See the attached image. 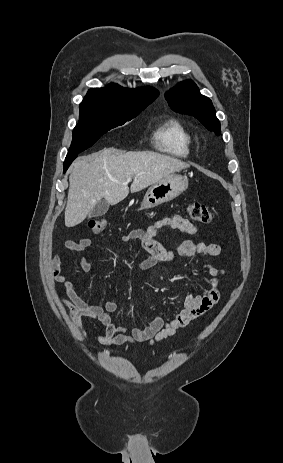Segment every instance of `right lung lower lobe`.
I'll use <instances>...</instances> for the list:
<instances>
[{"mask_svg": "<svg viewBox=\"0 0 283 463\" xmlns=\"http://www.w3.org/2000/svg\"><path fill=\"white\" fill-rule=\"evenodd\" d=\"M78 154H75L73 156H67L64 162V172L68 169L72 161L77 157Z\"/></svg>", "mask_w": 283, "mask_h": 463, "instance_id": "1", "label": "right lung lower lobe"}]
</instances>
